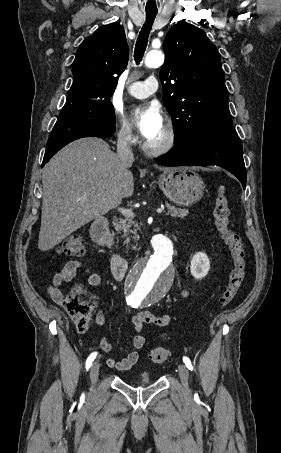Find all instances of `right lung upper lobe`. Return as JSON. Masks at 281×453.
<instances>
[{
	"label": "right lung upper lobe",
	"instance_id": "cb5924a9",
	"mask_svg": "<svg viewBox=\"0 0 281 453\" xmlns=\"http://www.w3.org/2000/svg\"><path fill=\"white\" fill-rule=\"evenodd\" d=\"M128 45L121 25L100 27L80 45L73 62V84L66 104L104 103L112 96L128 63Z\"/></svg>",
	"mask_w": 281,
	"mask_h": 453
}]
</instances>
